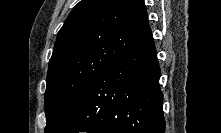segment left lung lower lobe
<instances>
[{
    "label": "left lung lower lobe",
    "instance_id": "left-lung-lower-lobe-1",
    "mask_svg": "<svg viewBox=\"0 0 221 133\" xmlns=\"http://www.w3.org/2000/svg\"><path fill=\"white\" fill-rule=\"evenodd\" d=\"M151 31L101 72L56 133H164Z\"/></svg>",
    "mask_w": 221,
    "mask_h": 133
}]
</instances>
